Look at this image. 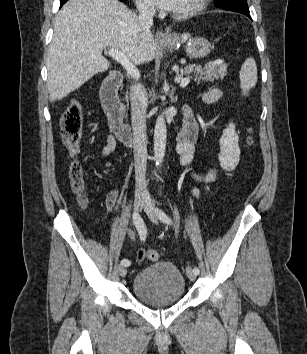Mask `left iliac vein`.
<instances>
[{"label":"left iliac vein","mask_w":307,"mask_h":354,"mask_svg":"<svg viewBox=\"0 0 307 354\" xmlns=\"http://www.w3.org/2000/svg\"><path fill=\"white\" fill-rule=\"evenodd\" d=\"M144 210L147 213L150 220L153 223L158 224L157 214L155 211L156 209H155L151 199H149V198L146 199L145 204H144ZM186 274L190 280H195L197 277V275L193 272V270L190 267H187Z\"/></svg>","instance_id":"left-iliac-vein-1"}]
</instances>
